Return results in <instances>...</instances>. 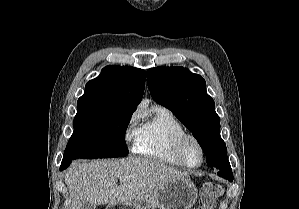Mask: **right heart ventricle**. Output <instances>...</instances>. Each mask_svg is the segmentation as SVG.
Returning a JSON list of instances; mask_svg holds the SVG:
<instances>
[{"instance_id":"obj_1","label":"right heart ventricle","mask_w":299,"mask_h":209,"mask_svg":"<svg viewBox=\"0 0 299 209\" xmlns=\"http://www.w3.org/2000/svg\"><path fill=\"white\" fill-rule=\"evenodd\" d=\"M184 134L179 120L166 108L156 105L137 127L133 150L144 157L179 166L173 148Z\"/></svg>"}]
</instances>
